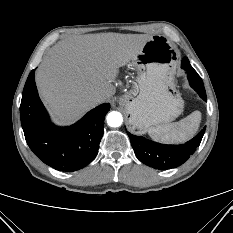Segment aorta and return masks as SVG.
Returning <instances> with one entry per match:
<instances>
[{"label": "aorta", "instance_id": "aorta-1", "mask_svg": "<svg viewBox=\"0 0 233 233\" xmlns=\"http://www.w3.org/2000/svg\"><path fill=\"white\" fill-rule=\"evenodd\" d=\"M123 122V117L120 112L112 111L107 115V123L110 127H119Z\"/></svg>", "mask_w": 233, "mask_h": 233}]
</instances>
